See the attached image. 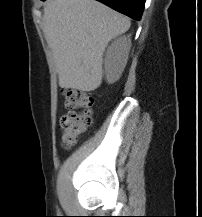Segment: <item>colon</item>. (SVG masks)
Returning a JSON list of instances; mask_svg holds the SVG:
<instances>
[{
  "label": "colon",
  "mask_w": 202,
  "mask_h": 217,
  "mask_svg": "<svg viewBox=\"0 0 202 217\" xmlns=\"http://www.w3.org/2000/svg\"><path fill=\"white\" fill-rule=\"evenodd\" d=\"M63 95L67 111L60 118L61 144L71 148L91 124L94 99L86 92L74 89H66Z\"/></svg>",
  "instance_id": "colon-1"
}]
</instances>
